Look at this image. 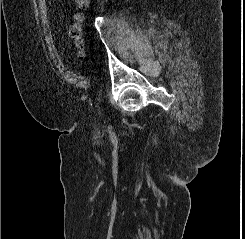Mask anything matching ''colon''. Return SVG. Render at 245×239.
<instances>
[{
	"instance_id": "5ec220e1",
	"label": "colon",
	"mask_w": 245,
	"mask_h": 239,
	"mask_svg": "<svg viewBox=\"0 0 245 239\" xmlns=\"http://www.w3.org/2000/svg\"><path fill=\"white\" fill-rule=\"evenodd\" d=\"M77 11L73 15V20L68 29V35L72 39L76 54L80 60L85 56V40L83 37L84 11L89 6V0H75Z\"/></svg>"
}]
</instances>
